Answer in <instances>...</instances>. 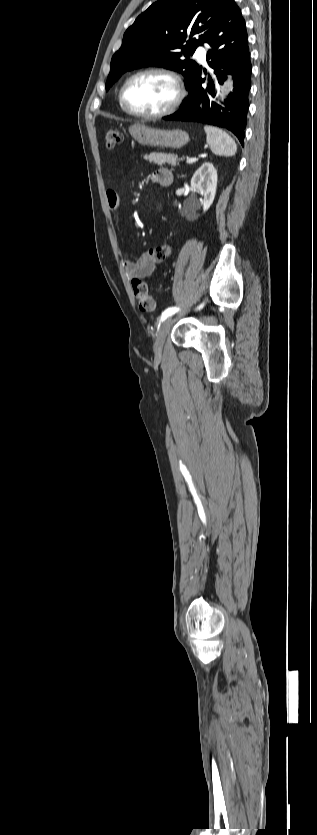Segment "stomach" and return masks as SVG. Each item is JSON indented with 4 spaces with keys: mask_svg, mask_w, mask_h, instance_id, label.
<instances>
[{
    "mask_svg": "<svg viewBox=\"0 0 317 835\" xmlns=\"http://www.w3.org/2000/svg\"><path fill=\"white\" fill-rule=\"evenodd\" d=\"M132 138L141 145L179 149L189 141V134L181 129L161 130L144 124L129 127Z\"/></svg>",
    "mask_w": 317,
    "mask_h": 835,
    "instance_id": "stomach-1",
    "label": "stomach"
}]
</instances>
